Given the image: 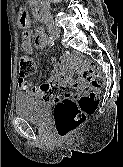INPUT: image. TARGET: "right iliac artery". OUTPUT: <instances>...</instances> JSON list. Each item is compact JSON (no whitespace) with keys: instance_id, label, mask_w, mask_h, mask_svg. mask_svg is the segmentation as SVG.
<instances>
[{"instance_id":"1","label":"right iliac artery","mask_w":123,"mask_h":167,"mask_svg":"<svg viewBox=\"0 0 123 167\" xmlns=\"http://www.w3.org/2000/svg\"><path fill=\"white\" fill-rule=\"evenodd\" d=\"M44 42L50 47L54 45V39L52 37H45Z\"/></svg>"}]
</instances>
